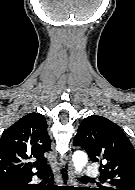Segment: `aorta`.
Instances as JSON below:
<instances>
[{"label": "aorta", "instance_id": "aorta-1", "mask_svg": "<svg viewBox=\"0 0 135 190\" xmlns=\"http://www.w3.org/2000/svg\"><path fill=\"white\" fill-rule=\"evenodd\" d=\"M87 154L82 151H76L73 154V163L76 172H81L83 167L87 164Z\"/></svg>", "mask_w": 135, "mask_h": 190}]
</instances>
